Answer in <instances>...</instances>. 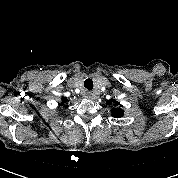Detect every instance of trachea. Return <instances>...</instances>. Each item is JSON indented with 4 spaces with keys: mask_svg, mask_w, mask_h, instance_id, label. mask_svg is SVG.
I'll return each mask as SVG.
<instances>
[{
    "mask_svg": "<svg viewBox=\"0 0 178 178\" xmlns=\"http://www.w3.org/2000/svg\"><path fill=\"white\" fill-rule=\"evenodd\" d=\"M84 86L88 89V90H92L93 89V81L92 79H86L84 81Z\"/></svg>",
    "mask_w": 178,
    "mask_h": 178,
    "instance_id": "trachea-1",
    "label": "trachea"
}]
</instances>
